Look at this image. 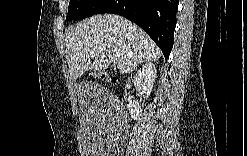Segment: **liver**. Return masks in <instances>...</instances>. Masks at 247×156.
Masks as SVG:
<instances>
[{
    "label": "liver",
    "mask_w": 247,
    "mask_h": 156,
    "mask_svg": "<svg viewBox=\"0 0 247 156\" xmlns=\"http://www.w3.org/2000/svg\"><path fill=\"white\" fill-rule=\"evenodd\" d=\"M65 46L73 80L89 69L105 70L111 59L125 74L161 56L159 47L141 28L115 14L95 15L69 27L65 31Z\"/></svg>",
    "instance_id": "1"
}]
</instances>
